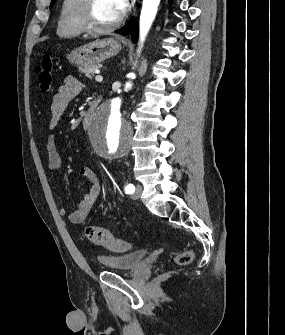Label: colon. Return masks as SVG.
<instances>
[{"mask_svg":"<svg viewBox=\"0 0 285 335\" xmlns=\"http://www.w3.org/2000/svg\"><path fill=\"white\" fill-rule=\"evenodd\" d=\"M38 82L43 92H49L53 82V57L44 54L38 72ZM86 238L96 244L106 247L114 252L124 253L131 249L132 244L115 237L109 230L99 226H89L85 229ZM194 258L192 249L184 250L174 256V261L179 265H186Z\"/></svg>","mask_w":285,"mask_h":335,"instance_id":"obj_1","label":"colon"}]
</instances>
